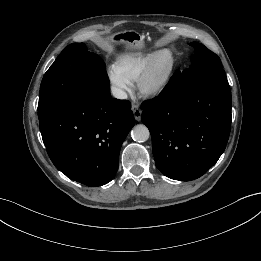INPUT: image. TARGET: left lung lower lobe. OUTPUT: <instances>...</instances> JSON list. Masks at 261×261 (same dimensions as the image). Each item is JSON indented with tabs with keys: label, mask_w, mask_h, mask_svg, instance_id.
Segmentation results:
<instances>
[{
	"label": "left lung lower lobe",
	"mask_w": 261,
	"mask_h": 261,
	"mask_svg": "<svg viewBox=\"0 0 261 261\" xmlns=\"http://www.w3.org/2000/svg\"><path fill=\"white\" fill-rule=\"evenodd\" d=\"M180 75L142 104V122L151 133L156 167L171 179L190 181L206 173L226 147L231 91L226 75L208 74L181 94Z\"/></svg>",
	"instance_id": "left-lung-lower-lobe-1"
}]
</instances>
